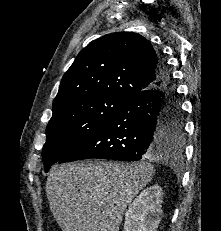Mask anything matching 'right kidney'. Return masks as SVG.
I'll list each match as a JSON object with an SVG mask.
<instances>
[{"label": "right kidney", "mask_w": 221, "mask_h": 231, "mask_svg": "<svg viewBox=\"0 0 221 231\" xmlns=\"http://www.w3.org/2000/svg\"><path fill=\"white\" fill-rule=\"evenodd\" d=\"M162 199L163 191L157 184L144 189L125 214L124 231H156L161 221Z\"/></svg>", "instance_id": "obj_1"}]
</instances>
